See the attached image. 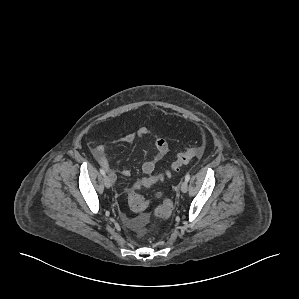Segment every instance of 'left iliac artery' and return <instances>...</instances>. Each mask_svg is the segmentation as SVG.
<instances>
[{
    "label": "left iliac artery",
    "mask_w": 299,
    "mask_h": 299,
    "mask_svg": "<svg viewBox=\"0 0 299 299\" xmlns=\"http://www.w3.org/2000/svg\"><path fill=\"white\" fill-rule=\"evenodd\" d=\"M189 179H190V174H189V173H187V174L185 175V180L188 182V181H189Z\"/></svg>",
    "instance_id": "44dca946"
}]
</instances>
